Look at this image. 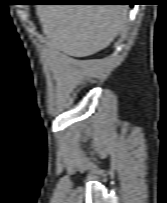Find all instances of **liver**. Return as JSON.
Segmentation results:
<instances>
[{
  "label": "liver",
  "mask_w": 167,
  "mask_h": 203,
  "mask_svg": "<svg viewBox=\"0 0 167 203\" xmlns=\"http://www.w3.org/2000/svg\"><path fill=\"white\" fill-rule=\"evenodd\" d=\"M43 32L54 49L86 57L105 49L124 28V5H38Z\"/></svg>",
  "instance_id": "1"
}]
</instances>
